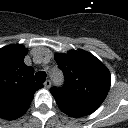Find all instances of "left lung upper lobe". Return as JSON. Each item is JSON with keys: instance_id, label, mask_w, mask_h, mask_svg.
<instances>
[{"instance_id": "left-lung-upper-lobe-1", "label": "left lung upper lobe", "mask_w": 128, "mask_h": 128, "mask_svg": "<svg viewBox=\"0 0 128 128\" xmlns=\"http://www.w3.org/2000/svg\"><path fill=\"white\" fill-rule=\"evenodd\" d=\"M55 60L66 78L63 90H50L56 102L95 111L110 88L108 69L95 56L83 50L56 54Z\"/></svg>"}]
</instances>
